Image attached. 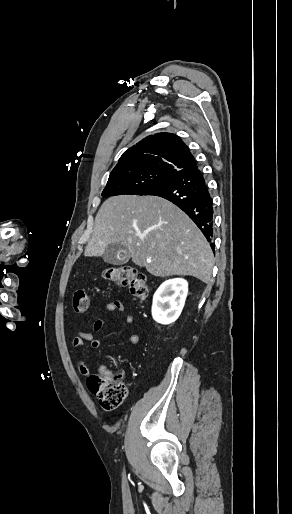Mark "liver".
Returning <instances> with one entry per match:
<instances>
[{"label": "liver", "mask_w": 292, "mask_h": 514, "mask_svg": "<svg viewBox=\"0 0 292 514\" xmlns=\"http://www.w3.org/2000/svg\"><path fill=\"white\" fill-rule=\"evenodd\" d=\"M120 242L153 276H194L210 284L213 252L194 222L158 196H114L103 202L84 256Z\"/></svg>", "instance_id": "1"}]
</instances>
